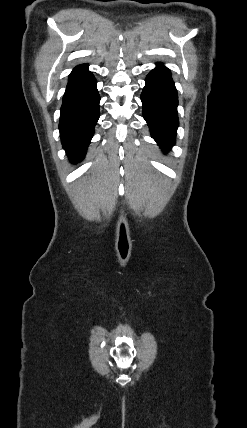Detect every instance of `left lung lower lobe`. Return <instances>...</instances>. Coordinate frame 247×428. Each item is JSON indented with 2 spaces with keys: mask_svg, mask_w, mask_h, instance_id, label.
<instances>
[{
  "mask_svg": "<svg viewBox=\"0 0 247 428\" xmlns=\"http://www.w3.org/2000/svg\"><path fill=\"white\" fill-rule=\"evenodd\" d=\"M141 101L152 138L163 151L169 150L175 144L179 120L177 90L168 68L158 64L147 75Z\"/></svg>",
  "mask_w": 247,
  "mask_h": 428,
  "instance_id": "1",
  "label": "left lung lower lobe"
}]
</instances>
